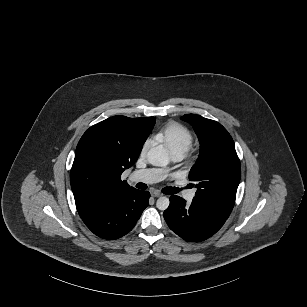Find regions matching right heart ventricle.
I'll use <instances>...</instances> for the list:
<instances>
[{"mask_svg":"<svg viewBox=\"0 0 307 307\" xmlns=\"http://www.w3.org/2000/svg\"><path fill=\"white\" fill-rule=\"evenodd\" d=\"M155 139L163 142L171 153L185 154L193 143L191 133L185 128L171 124L156 129Z\"/></svg>","mask_w":307,"mask_h":307,"instance_id":"1","label":"right heart ventricle"}]
</instances>
